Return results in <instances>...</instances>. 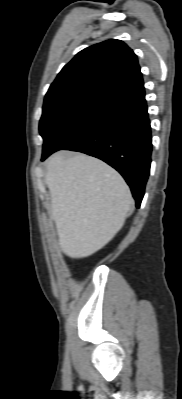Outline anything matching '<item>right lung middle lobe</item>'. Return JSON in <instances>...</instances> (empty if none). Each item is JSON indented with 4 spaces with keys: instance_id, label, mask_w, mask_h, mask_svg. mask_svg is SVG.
<instances>
[{
    "instance_id": "1",
    "label": "right lung middle lobe",
    "mask_w": 182,
    "mask_h": 399,
    "mask_svg": "<svg viewBox=\"0 0 182 399\" xmlns=\"http://www.w3.org/2000/svg\"><path fill=\"white\" fill-rule=\"evenodd\" d=\"M105 99L88 94H69L44 100L40 119V135L43 137V152L57 136L74 122L98 108Z\"/></svg>"
}]
</instances>
